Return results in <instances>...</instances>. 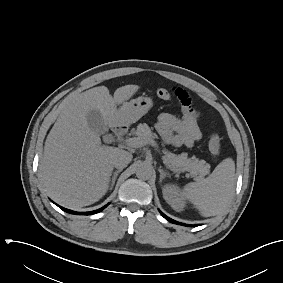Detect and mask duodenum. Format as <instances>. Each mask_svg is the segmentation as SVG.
<instances>
[{
    "mask_svg": "<svg viewBox=\"0 0 283 283\" xmlns=\"http://www.w3.org/2000/svg\"><path fill=\"white\" fill-rule=\"evenodd\" d=\"M113 130L118 138H122L127 133V127L122 124L115 125Z\"/></svg>",
    "mask_w": 283,
    "mask_h": 283,
    "instance_id": "duodenum-1",
    "label": "duodenum"
}]
</instances>
